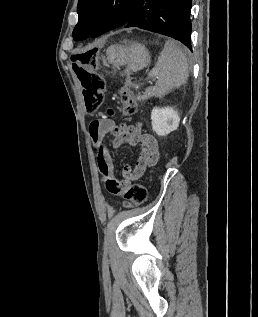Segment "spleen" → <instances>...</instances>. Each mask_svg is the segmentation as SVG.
I'll use <instances>...</instances> for the list:
<instances>
[{"label":"spleen","mask_w":258,"mask_h":317,"mask_svg":"<svg viewBox=\"0 0 258 317\" xmlns=\"http://www.w3.org/2000/svg\"><path fill=\"white\" fill-rule=\"evenodd\" d=\"M149 76H157L155 86H148L144 94L137 100H145L149 96H164L172 88H179L189 76V58L187 50H182L175 40H166L158 60L149 72Z\"/></svg>","instance_id":"1"}]
</instances>
